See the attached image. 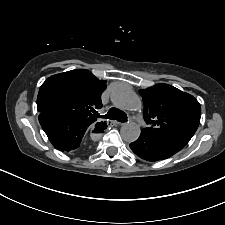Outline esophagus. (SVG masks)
I'll use <instances>...</instances> for the list:
<instances>
[{"instance_id":"1","label":"esophagus","mask_w":225,"mask_h":225,"mask_svg":"<svg viewBox=\"0 0 225 225\" xmlns=\"http://www.w3.org/2000/svg\"><path fill=\"white\" fill-rule=\"evenodd\" d=\"M110 124H111V125L117 126V125H121L122 123H120V122H118V121H111Z\"/></svg>"}]
</instances>
